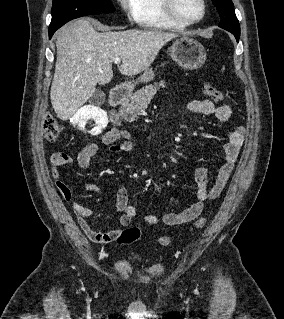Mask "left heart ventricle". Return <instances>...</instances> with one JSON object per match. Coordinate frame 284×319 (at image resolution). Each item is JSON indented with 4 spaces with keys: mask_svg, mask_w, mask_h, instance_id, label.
Segmentation results:
<instances>
[{
    "mask_svg": "<svg viewBox=\"0 0 284 319\" xmlns=\"http://www.w3.org/2000/svg\"><path fill=\"white\" fill-rule=\"evenodd\" d=\"M178 14L186 20L198 19L202 14L201 0H175Z\"/></svg>",
    "mask_w": 284,
    "mask_h": 319,
    "instance_id": "obj_1",
    "label": "left heart ventricle"
}]
</instances>
